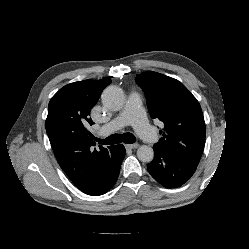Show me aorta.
<instances>
[{
    "instance_id": "762f6f07",
    "label": "aorta",
    "mask_w": 249,
    "mask_h": 249,
    "mask_svg": "<svg viewBox=\"0 0 249 249\" xmlns=\"http://www.w3.org/2000/svg\"><path fill=\"white\" fill-rule=\"evenodd\" d=\"M102 103L109 110L119 111L125 103L123 91L117 86H108L102 93ZM137 157L140 161L149 163L153 160L154 151L150 146L142 145L137 150Z\"/></svg>"
}]
</instances>
